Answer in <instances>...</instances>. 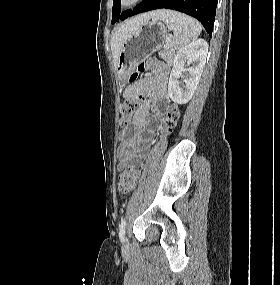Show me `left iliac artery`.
Listing matches in <instances>:
<instances>
[{"label":"left iliac artery","instance_id":"44dca946","mask_svg":"<svg viewBox=\"0 0 280 285\" xmlns=\"http://www.w3.org/2000/svg\"><path fill=\"white\" fill-rule=\"evenodd\" d=\"M125 225H126V220L122 219L120 228H119V237L121 242H124L125 240Z\"/></svg>","mask_w":280,"mask_h":285}]
</instances>
